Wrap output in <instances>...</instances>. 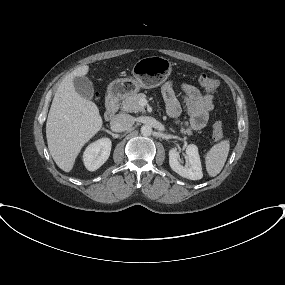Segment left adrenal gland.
<instances>
[{
    "label": "left adrenal gland",
    "mask_w": 285,
    "mask_h": 285,
    "mask_svg": "<svg viewBox=\"0 0 285 285\" xmlns=\"http://www.w3.org/2000/svg\"><path fill=\"white\" fill-rule=\"evenodd\" d=\"M170 131L174 132V130L172 128H169Z\"/></svg>",
    "instance_id": "left-adrenal-gland-1"
}]
</instances>
